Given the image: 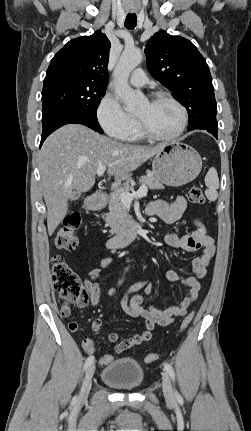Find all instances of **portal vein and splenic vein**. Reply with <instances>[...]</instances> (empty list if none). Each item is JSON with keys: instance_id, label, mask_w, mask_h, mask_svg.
Returning <instances> with one entry per match:
<instances>
[{"instance_id": "18ae733b", "label": "portal vein and splenic vein", "mask_w": 251, "mask_h": 431, "mask_svg": "<svg viewBox=\"0 0 251 431\" xmlns=\"http://www.w3.org/2000/svg\"><path fill=\"white\" fill-rule=\"evenodd\" d=\"M106 166H101L97 169V175L100 177L104 174L105 170H106ZM147 186L146 185H141V187L133 193H129V192H123L120 194L119 198L120 201L124 204V205H130L132 203V200L135 198H142L144 196H146L147 194Z\"/></svg>"}]
</instances>
